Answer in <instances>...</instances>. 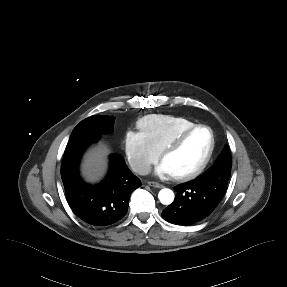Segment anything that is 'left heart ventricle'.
Here are the masks:
<instances>
[{"label":"left heart ventricle","mask_w":287,"mask_h":287,"mask_svg":"<svg viewBox=\"0 0 287 287\" xmlns=\"http://www.w3.org/2000/svg\"><path fill=\"white\" fill-rule=\"evenodd\" d=\"M211 143L208 130L201 128L194 131L174 152L167 155L162 162L170 175L186 174L198 167L205 158Z\"/></svg>","instance_id":"b2bd125f"}]
</instances>
